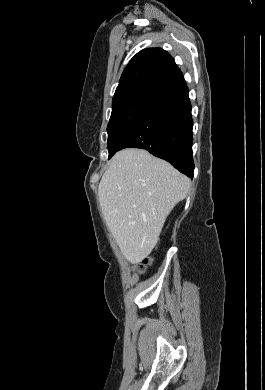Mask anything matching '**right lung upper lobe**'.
Instances as JSON below:
<instances>
[{
	"label": "right lung upper lobe",
	"instance_id": "cb5924a9",
	"mask_svg": "<svg viewBox=\"0 0 265 390\" xmlns=\"http://www.w3.org/2000/svg\"><path fill=\"white\" fill-rule=\"evenodd\" d=\"M184 80L170 54L161 48L138 52L124 69L112 103L135 96L156 99Z\"/></svg>",
	"mask_w": 265,
	"mask_h": 390
}]
</instances>
